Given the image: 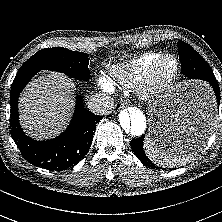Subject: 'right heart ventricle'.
<instances>
[{"instance_id": "1", "label": "right heart ventricle", "mask_w": 222, "mask_h": 222, "mask_svg": "<svg viewBox=\"0 0 222 222\" xmlns=\"http://www.w3.org/2000/svg\"><path fill=\"white\" fill-rule=\"evenodd\" d=\"M162 55L160 52H147L134 59L113 66L109 71V84H133L141 82L151 64Z\"/></svg>"}]
</instances>
